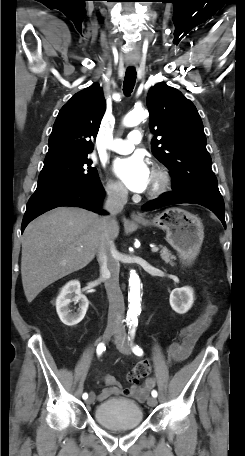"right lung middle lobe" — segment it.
Instances as JSON below:
<instances>
[{
  "label": "right lung middle lobe",
  "instance_id": "1",
  "mask_svg": "<svg viewBox=\"0 0 245 456\" xmlns=\"http://www.w3.org/2000/svg\"><path fill=\"white\" fill-rule=\"evenodd\" d=\"M87 155L65 159L45 165L39 175L34 194L68 189L92 187L100 182L97 169L91 167Z\"/></svg>",
  "mask_w": 245,
  "mask_h": 456
}]
</instances>
